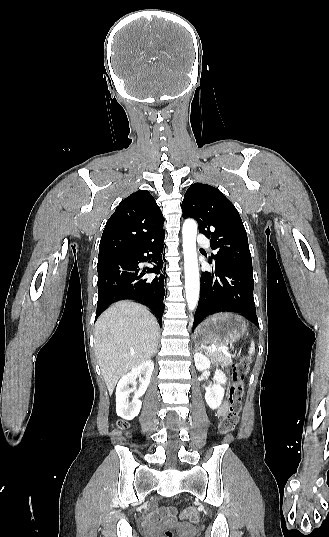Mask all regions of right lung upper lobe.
<instances>
[{
	"label": "right lung upper lobe",
	"mask_w": 329,
	"mask_h": 537,
	"mask_svg": "<svg viewBox=\"0 0 329 537\" xmlns=\"http://www.w3.org/2000/svg\"><path fill=\"white\" fill-rule=\"evenodd\" d=\"M164 217L153 196L138 190L122 200L106 223L98 258L131 252L164 235Z\"/></svg>",
	"instance_id": "right-lung-upper-lobe-1"
}]
</instances>
